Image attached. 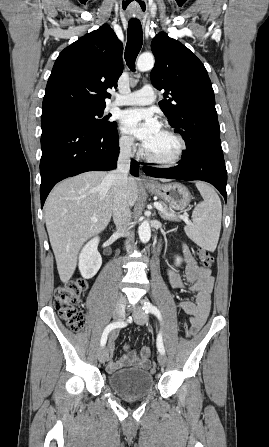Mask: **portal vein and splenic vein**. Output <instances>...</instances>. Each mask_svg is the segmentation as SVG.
<instances>
[{
	"label": "portal vein and splenic vein",
	"mask_w": 269,
	"mask_h": 447,
	"mask_svg": "<svg viewBox=\"0 0 269 447\" xmlns=\"http://www.w3.org/2000/svg\"><path fill=\"white\" fill-rule=\"evenodd\" d=\"M154 206H155V208H157V210H159V212H162V214H164V216H169V218H174V214H167V212H165L162 204H159V202H154ZM177 218H180V220H183V222H185V224H191V222H189L188 216H177ZM92 222H97V220H92Z\"/></svg>",
	"instance_id": "portal-vein-and-splenic-vein-1"
}]
</instances>
